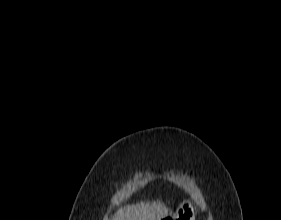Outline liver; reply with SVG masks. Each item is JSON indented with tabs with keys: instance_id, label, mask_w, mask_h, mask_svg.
Segmentation results:
<instances>
[{
	"instance_id": "obj_1",
	"label": "liver",
	"mask_w": 281,
	"mask_h": 220,
	"mask_svg": "<svg viewBox=\"0 0 281 220\" xmlns=\"http://www.w3.org/2000/svg\"><path fill=\"white\" fill-rule=\"evenodd\" d=\"M171 214V210L160 200L140 202L119 209L113 220H161Z\"/></svg>"
}]
</instances>
